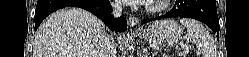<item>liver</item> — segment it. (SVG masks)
<instances>
[{"label":"liver","instance_id":"6515ba94","mask_svg":"<svg viewBox=\"0 0 249 57\" xmlns=\"http://www.w3.org/2000/svg\"><path fill=\"white\" fill-rule=\"evenodd\" d=\"M104 23L77 7L59 10L38 28L33 57H100Z\"/></svg>","mask_w":249,"mask_h":57}]
</instances>
